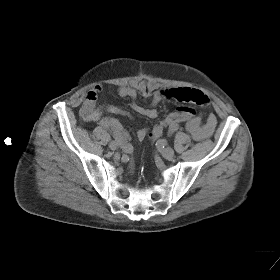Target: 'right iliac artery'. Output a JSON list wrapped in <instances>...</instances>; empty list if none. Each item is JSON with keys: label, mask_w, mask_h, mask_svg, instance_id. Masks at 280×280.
<instances>
[{"label": "right iliac artery", "mask_w": 280, "mask_h": 280, "mask_svg": "<svg viewBox=\"0 0 280 280\" xmlns=\"http://www.w3.org/2000/svg\"><path fill=\"white\" fill-rule=\"evenodd\" d=\"M99 124L101 125V127L111 132L113 138L117 141L119 145H121V147L126 153L133 152V146L128 142L127 138L123 136L121 132L116 130L108 119H102Z\"/></svg>", "instance_id": "1"}]
</instances>
